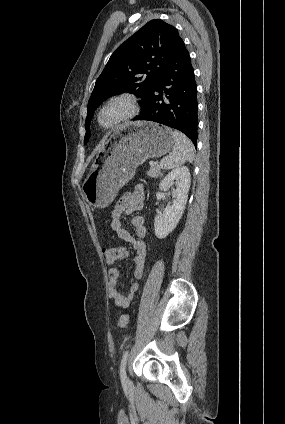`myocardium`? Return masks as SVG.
I'll list each match as a JSON object with an SVG mask.
<instances>
[{
  "label": "myocardium",
  "mask_w": 285,
  "mask_h": 424,
  "mask_svg": "<svg viewBox=\"0 0 285 424\" xmlns=\"http://www.w3.org/2000/svg\"><path fill=\"white\" fill-rule=\"evenodd\" d=\"M114 105H123L126 111L112 122L104 123L102 120L104 113ZM139 111V101L133 95L122 94L111 97L97 110L95 115L96 126L101 131L115 130L135 118L139 114Z\"/></svg>",
  "instance_id": "1"
}]
</instances>
